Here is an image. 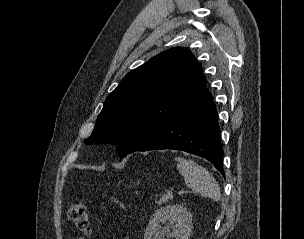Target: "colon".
<instances>
[{
	"mask_svg": "<svg viewBox=\"0 0 304 239\" xmlns=\"http://www.w3.org/2000/svg\"><path fill=\"white\" fill-rule=\"evenodd\" d=\"M67 215L76 229L85 235L91 234L92 228L88 209L83 200L70 204L67 210Z\"/></svg>",
	"mask_w": 304,
	"mask_h": 239,
	"instance_id": "1",
	"label": "colon"
}]
</instances>
